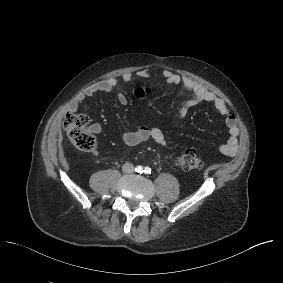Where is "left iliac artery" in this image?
<instances>
[{
  "label": "left iliac artery",
  "instance_id": "left-iliac-artery-1",
  "mask_svg": "<svg viewBox=\"0 0 283 283\" xmlns=\"http://www.w3.org/2000/svg\"><path fill=\"white\" fill-rule=\"evenodd\" d=\"M144 172H145L146 174H150V173H151V169H150L149 167H146V168L144 169Z\"/></svg>",
  "mask_w": 283,
  "mask_h": 283
}]
</instances>
